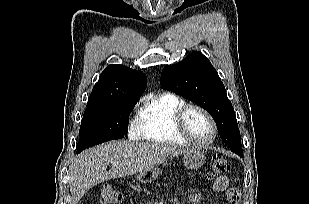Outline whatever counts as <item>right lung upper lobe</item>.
<instances>
[{
	"label": "right lung upper lobe",
	"instance_id": "right-lung-upper-lobe-1",
	"mask_svg": "<svg viewBox=\"0 0 309 204\" xmlns=\"http://www.w3.org/2000/svg\"><path fill=\"white\" fill-rule=\"evenodd\" d=\"M147 86L146 75L123 65H109L95 84L88 104L114 99H139Z\"/></svg>",
	"mask_w": 309,
	"mask_h": 204
}]
</instances>
